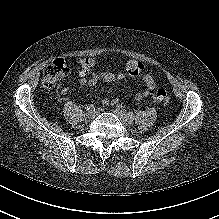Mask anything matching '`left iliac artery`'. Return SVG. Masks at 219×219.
<instances>
[{"instance_id": "obj_1", "label": "left iliac artery", "mask_w": 219, "mask_h": 219, "mask_svg": "<svg viewBox=\"0 0 219 219\" xmlns=\"http://www.w3.org/2000/svg\"><path fill=\"white\" fill-rule=\"evenodd\" d=\"M119 108H120V110L122 111V112H124V113H126L127 114V112H126V110H125V108H124V106L122 105V104H119V105H117ZM130 117H132V114H128Z\"/></svg>"}]
</instances>
